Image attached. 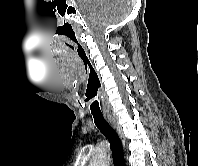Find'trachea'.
<instances>
[{"label":"trachea","instance_id":"trachea-1","mask_svg":"<svg viewBox=\"0 0 198 166\" xmlns=\"http://www.w3.org/2000/svg\"><path fill=\"white\" fill-rule=\"evenodd\" d=\"M97 128L109 140L114 166H126L121 140L117 132L108 124L101 113H92Z\"/></svg>","mask_w":198,"mask_h":166}]
</instances>
